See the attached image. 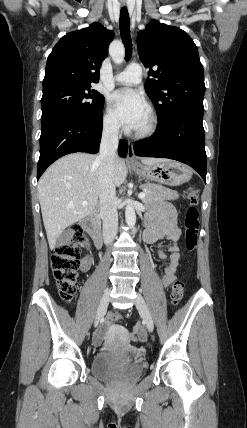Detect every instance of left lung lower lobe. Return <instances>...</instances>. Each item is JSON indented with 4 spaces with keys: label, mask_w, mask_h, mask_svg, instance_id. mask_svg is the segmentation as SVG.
I'll return each instance as SVG.
<instances>
[{
    "label": "left lung lower lobe",
    "mask_w": 247,
    "mask_h": 428,
    "mask_svg": "<svg viewBox=\"0 0 247 428\" xmlns=\"http://www.w3.org/2000/svg\"><path fill=\"white\" fill-rule=\"evenodd\" d=\"M203 112L176 110L160 121L157 135L134 145L137 156L162 157L183 162L206 182L207 156Z\"/></svg>",
    "instance_id": "left-lung-lower-lobe-1"
}]
</instances>
